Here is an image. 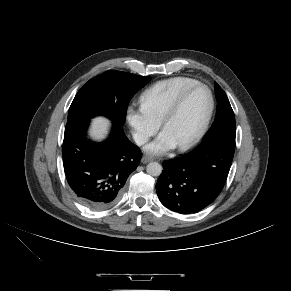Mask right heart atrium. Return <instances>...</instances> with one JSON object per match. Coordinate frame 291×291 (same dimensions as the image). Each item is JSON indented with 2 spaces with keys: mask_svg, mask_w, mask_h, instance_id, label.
I'll use <instances>...</instances> for the list:
<instances>
[{
  "mask_svg": "<svg viewBox=\"0 0 291 291\" xmlns=\"http://www.w3.org/2000/svg\"><path fill=\"white\" fill-rule=\"evenodd\" d=\"M125 116L133 138L138 145L145 144L159 129L160 123L141 105H129Z\"/></svg>",
  "mask_w": 291,
  "mask_h": 291,
  "instance_id": "1",
  "label": "right heart atrium"
}]
</instances>
